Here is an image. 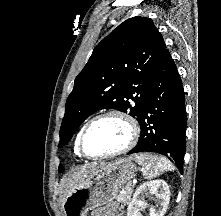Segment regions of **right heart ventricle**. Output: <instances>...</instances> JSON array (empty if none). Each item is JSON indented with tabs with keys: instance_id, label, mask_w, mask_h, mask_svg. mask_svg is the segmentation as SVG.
Returning <instances> with one entry per match:
<instances>
[{
	"instance_id": "right-heart-ventricle-1",
	"label": "right heart ventricle",
	"mask_w": 221,
	"mask_h": 216,
	"mask_svg": "<svg viewBox=\"0 0 221 216\" xmlns=\"http://www.w3.org/2000/svg\"><path fill=\"white\" fill-rule=\"evenodd\" d=\"M78 136H79V135H78ZM78 136H77V138H76V140H75V144H74V153H75L76 155L80 156V152H79L78 146H77Z\"/></svg>"
}]
</instances>
